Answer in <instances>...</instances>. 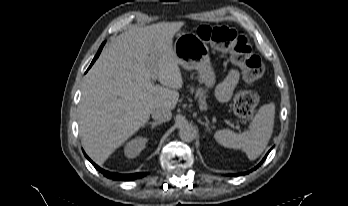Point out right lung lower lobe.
<instances>
[{"label": "right lung lower lobe", "mask_w": 348, "mask_h": 206, "mask_svg": "<svg viewBox=\"0 0 348 206\" xmlns=\"http://www.w3.org/2000/svg\"><path fill=\"white\" fill-rule=\"evenodd\" d=\"M105 42H103V44L100 46L95 58L93 59L90 67L92 66V64L95 62V60L98 58L103 46H104ZM89 67V68H90ZM86 158L91 162V164L97 169L99 170L101 173L104 174V176L114 179V180H124V181H129L132 179H136V178H140L145 176L147 173H135V174H118V173H112V172H108L105 171L103 169H101L99 166H97L86 154H85Z\"/></svg>", "instance_id": "98d812e1"}]
</instances>
